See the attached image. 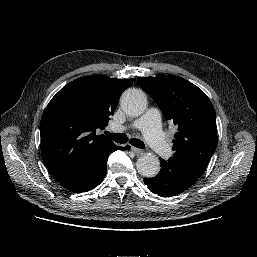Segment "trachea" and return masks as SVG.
<instances>
[{
  "label": "trachea",
  "instance_id": "trachea-1",
  "mask_svg": "<svg viewBox=\"0 0 257 257\" xmlns=\"http://www.w3.org/2000/svg\"><path fill=\"white\" fill-rule=\"evenodd\" d=\"M105 134L107 137H109L110 139L114 140L117 143L123 144V143H126L128 140L127 136L124 133L116 134V133H109L106 131ZM130 144L140 149L145 148V144L140 139L132 138L130 140Z\"/></svg>",
  "mask_w": 257,
  "mask_h": 257
}]
</instances>
